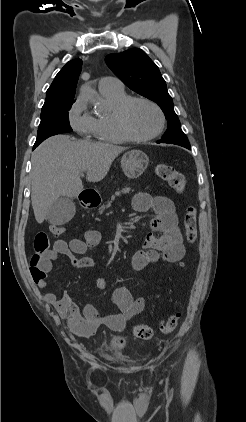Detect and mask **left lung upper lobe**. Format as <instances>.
Instances as JSON below:
<instances>
[{"label": "left lung upper lobe", "mask_w": 246, "mask_h": 422, "mask_svg": "<svg viewBox=\"0 0 246 422\" xmlns=\"http://www.w3.org/2000/svg\"><path fill=\"white\" fill-rule=\"evenodd\" d=\"M105 61L115 75L136 93L156 102L168 120V128L157 143L190 146L174 111V104L165 80L156 64L139 48L118 54H109Z\"/></svg>", "instance_id": "obj_1"}]
</instances>
